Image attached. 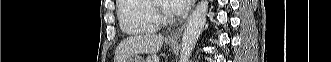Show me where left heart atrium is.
<instances>
[{
    "mask_svg": "<svg viewBox=\"0 0 331 62\" xmlns=\"http://www.w3.org/2000/svg\"><path fill=\"white\" fill-rule=\"evenodd\" d=\"M190 3L191 0H169L166 8L171 14L181 15L189 9Z\"/></svg>",
    "mask_w": 331,
    "mask_h": 62,
    "instance_id": "39dd6f15",
    "label": "left heart atrium"
}]
</instances>
